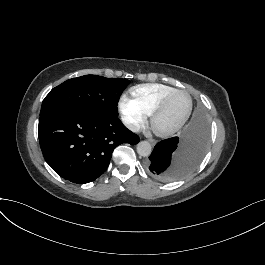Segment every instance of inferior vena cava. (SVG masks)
Masks as SVG:
<instances>
[{
    "label": "inferior vena cava",
    "instance_id": "inferior-vena-cava-1",
    "mask_svg": "<svg viewBox=\"0 0 265 265\" xmlns=\"http://www.w3.org/2000/svg\"><path fill=\"white\" fill-rule=\"evenodd\" d=\"M125 126L132 132H138L140 130L139 124L126 123Z\"/></svg>",
    "mask_w": 265,
    "mask_h": 265
}]
</instances>
